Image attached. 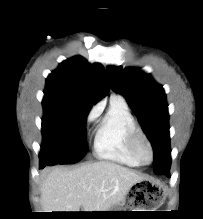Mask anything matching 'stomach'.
<instances>
[{
    "mask_svg": "<svg viewBox=\"0 0 203 219\" xmlns=\"http://www.w3.org/2000/svg\"><path fill=\"white\" fill-rule=\"evenodd\" d=\"M163 201L164 193L161 186L154 182L143 180L135 184L134 193L130 198H127V200H124L121 204L113 206L108 211H127L123 209H140L128 211H156L154 209H157ZM106 215L113 217L119 214L112 212Z\"/></svg>",
    "mask_w": 203,
    "mask_h": 219,
    "instance_id": "stomach-1",
    "label": "stomach"
}]
</instances>
